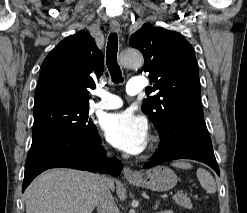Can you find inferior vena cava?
Returning <instances> with one entry per match:
<instances>
[{
  "mask_svg": "<svg viewBox=\"0 0 247 213\" xmlns=\"http://www.w3.org/2000/svg\"><path fill=\"white\" fill-rule=\"evenodd\" d=\"M111 179L105 175H100V184L97 195L98 213H117V207L110 191Z\"/></svg>",
  "mask_w": 247,
  "mask_h": 213,
  "instance_id": "602c4592",
  "label": "inferior vena cava"
}]
</instances>
